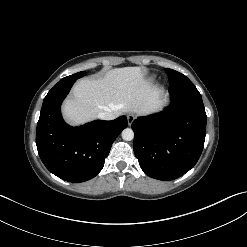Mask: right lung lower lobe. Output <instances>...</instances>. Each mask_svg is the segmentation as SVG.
<instances>
[{"instance_id":"obj_1","label":"right lung lower lobe","mask_w":247,"mask_h":247,"mask_svg":"<svg viewBox=\"0 0 247 247\" xmlns=\"http://www.w3.org/2000/svg\"><path fill=\"white\" fill-rule=\"evenodd\" d=\"M76 80L59 81L43 101L36 131V145L46 168L74 183L95 177L103 168L112 143L128 126L121 116L71 127L62 119L60 106Z\"/></svg>"}]
</instances>
